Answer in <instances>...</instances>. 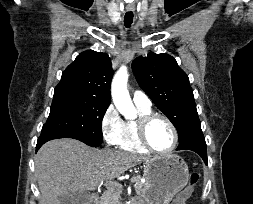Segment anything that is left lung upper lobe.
<instances>
[{
	"instance_id": "5c2ea615",
	"label": "left lung upper lobe",
	"mask_w": 253,
	"mask_h": 204,
	"mask_svg": "<svg viewBox=\"0 0 253 204\" xmlns=\"http://www.w3.org/2000/svg\"><path fill=\"white\" fill-rule=\"evenodd\" d=\"M132 70L140 87L176 127L180 142L190 125L199 121L188 76L166 53L137 57Z\"/></svg>"
}]
</instances>
